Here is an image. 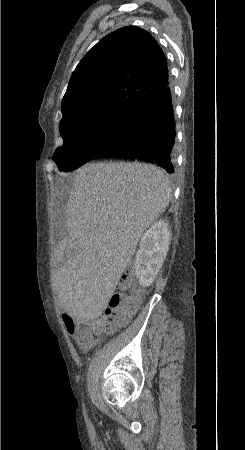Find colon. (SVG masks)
Returning a JSON list of instances; mask_svg holds the SVG:
<instances>
[{
    "label": "colon",
    "mask_w": 245,
    "mask_h": 450,
    "mask_svg": "<svg viewBox=\"0 0 245 450\" xmlns=\"http://www.w3.org/2000/svg\"><path fill=\"white\" fill-rule=\"evenodd\" d=\"M118 292L111 296L108 305L97 316L89 321H65L69 333H77L79 339L87 341L91 331L114 332L119 327L126 326L131 317L138 311L140 294L127 295L126 292L133 287V277L126 274L118 281Z\"/></svg>",
    "instance_id": "5ec220e1"
}]
</instances>
